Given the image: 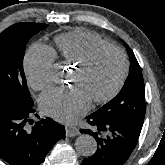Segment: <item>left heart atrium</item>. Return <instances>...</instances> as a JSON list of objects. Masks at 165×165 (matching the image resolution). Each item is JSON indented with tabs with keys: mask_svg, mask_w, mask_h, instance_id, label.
I'll use <instances>...</instances> for the list:
<instances>
[{
	"mask_svg": "<svg viewBox=\"0 0 165 165\" xmlns=\"http://www.w3.org/2000/svg\"><path fill=\"white\" fill-rule=\"evenodd\" d=\"M91 100L79 87L53 88L40 98V107L48 116L59 122L70 123L85 113Z\"/></svg>",
	"mask_w": 165,
	"mask_h": 165,
	"instance_id": "39dd6f15",
	"label": "left heart atrium"
}]
</instances>
